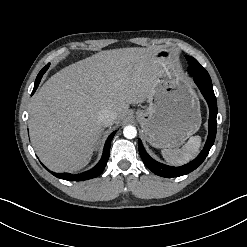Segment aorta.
<instances>
[{
	"label": "aorta",
	"instance_id": "aorta-1",
	"mask_svg": "<svg viewBox=\"0 0 247 247\" xmlns=\"http://www.w3.org/2000/svg\"><path fill=\"white\" fill-rule=\"evenodd\" d=\"M123 135L127 139H133V138H135L136 135H137L136 127H134L132 125H128V126L124 127V129H123Z\"/></svg>",
	"mask_w": 247,
	"mask_h": 247
}]
</instances>
